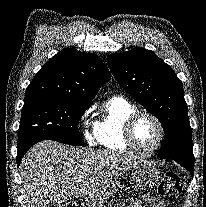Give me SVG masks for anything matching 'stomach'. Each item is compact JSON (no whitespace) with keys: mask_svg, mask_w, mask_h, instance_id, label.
<instances>
[{"mask_svg":"<svg viewBox=\"0 0 206 207\" xmlns=\"http://www.w3.org/2000/svg\"><path fill=\"white\" fill-rule=\"evenodd\" d=\"M132 176L140 188H151L158 183L159 172L155 164L148 160H137L136 164L133 166ZM119 185L114 183L107 190L108 197L117 191Z\"/></svg>","mask_w":206,"mask_h":207,"instance_id":"obj_1","label":"stomach"}]
</instances>
